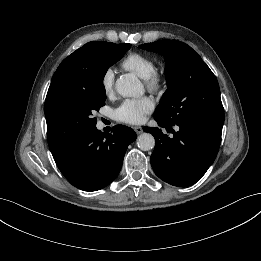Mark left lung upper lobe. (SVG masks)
<instances>
[{"label": "left lung upper lobe", "mask_w": 261, "mask_h": 261, "mask_svg": "<svg viewBox=\"0 0 261 261\" xmlns=\"http://www.w3.org/2000/svg\"><path fill=\"white\" fill-rule=\"evenodd\" d=\"M139 47L165 57L168 89L154 112V119L171 126L224 120L218 81L190 46L177 40H161Z\"/></svg>", "instance_id": "obj_1"}]
</instances>
